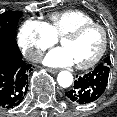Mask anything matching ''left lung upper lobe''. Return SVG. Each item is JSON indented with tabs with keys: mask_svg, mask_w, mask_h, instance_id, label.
Wrapping results in <instances>:
<instances>
[{
	"mask_svg": "<svg viewBox=\"0 0 117 117\" xmlns=\"http://www.w3.org/2000/svg\"><path fill=\"white\" fill-rule=\"evenodd\" d=\"M103 64L110 66V65H111L110 58H109V57H107V58L105 59V61H104V63H103Z\"/></svg>",
	"mask_w": 117,
	"mask_h": 117,
	"instance_id": "1",
	"label": "left lung upper lobe"
}]
</instances>
